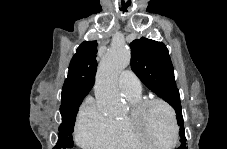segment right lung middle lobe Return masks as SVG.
<instances>
[{"instance_id":"dd1d6c3e","label":"right lung middle lobe","mask_w":227,"mask_h":149,"mask_svg":"<svg viewBox=\"0 0 227 149\" xmlns=\"http://www.w3.org/2000/svg\"><path fill=\"white\" fill-rule=\"evenodd\" d=\"M83 99L78 100L74 103L60 106V113L62 116V123L59 127V139L57 148H72L73 147V130L75 124V118Z\"/></svg>"}]
</instances>
